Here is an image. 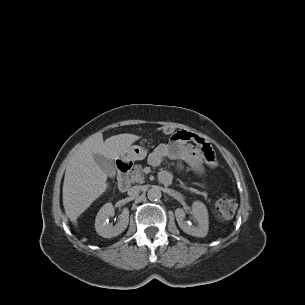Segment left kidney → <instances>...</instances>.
Segmentation results:
<instances>
[{
  "label": "left kidney",
  "instance_id": "1",
  "mask_svg": "<svg viewBox=\"0 0 305 305\" xmlns=\"http://www.w3.org/2000/svg\"><path fill=\"white\" fill-rule=\"evenodd\" d=\"M190 213L193 215L197 225H191L185 220L186 211L182 208L175 210V217L179 227L187 234L195 237H205L209 228L208 210L205 204L200 201H195L192 204Z\"/></svg>",
  "mask_w": 305,
  "mask_h": 305
}]
</instances>
